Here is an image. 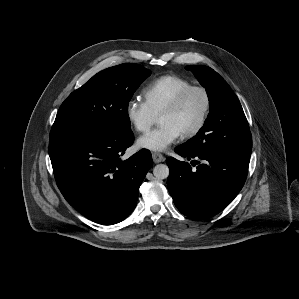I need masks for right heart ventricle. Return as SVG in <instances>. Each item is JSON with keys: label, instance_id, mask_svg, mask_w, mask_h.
Masks as SVG:
<instances>
[{"label": "right heart ventricle", "instance_id": "right-heart-ventricle-1", "mask_svg": "<svg viewBox=\"0 0 299 299\" xmlns=\"http://www.w3.org/2000/svg\"><path fill=\"white\" fill-rule=\"evenodd\" d=\"M190 86L192 82L184 77L164 75L147 85L142 95L148 108L158 116L179 93Z\"/></svg>", "mask_w": 299, "mask_h": 299}]
</instances>
